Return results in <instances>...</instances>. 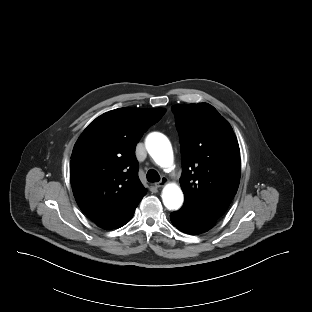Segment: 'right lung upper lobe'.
Returning <instances> with one entry per match:
<instances>
[{
    "instance_id": "right-lung-upper-lobe-1",
    "label": "right lung upper lobe",
    "mask_w": 312,
    "mask_h": 312,
    "mask_svg": "<svg viewBox=\"0 0 312 312\" xmlns=\"http://www.w3.org/2000/svg\"><path fill=\"white\" fill-rule=\"evenodd\" d=\"M164 108L123 107L84 130L71 155L70 181L79 208L101 228L126 224L146 193L138 178L135 146L165 114Z\"/></svg>"
}]
</instances>
